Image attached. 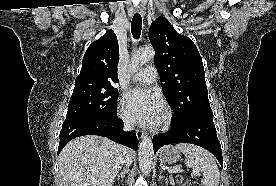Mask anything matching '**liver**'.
Wrapping results in <instances>:
<instances>
[{
	"instance_id": "6515ba94",
	"label": "liver",
	"mask_w": 276,
	"mask_h": 186,
	"mask_svg": "<svg viewBox=\"0 0 276 186\" xmlns=\"http://www.w3.org/2000/svg\"><path fill=\"white\" fill-rule=\"evenodd\" d=\"M108 138L86 135L73 139L59 155L63 186H112L126 157Z\"/></svg>"
}]
</instances>
